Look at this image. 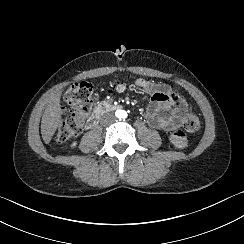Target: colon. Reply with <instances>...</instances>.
I'll return each mask as SVG.
<instances>
[{
    "mask_svg": "<svg viewBox=\"0 0 244 244\" xmlns=\"http://www.w3.org/2000/svg\"><path fill=\"white\" fill-rule=\"evenodd\" d=\"M165 100L164 97H161ZM63 101L71 109L64 108L62 121L54 136V141L58 144L65 143L73 139L81 129V123L90 113L94 104L93 86L86 81L73 82L64 92ZM199 119L188 113L184 124L170 134V140L179 149H187L190 145V135L199 129Z\"/></svg>",
    "mask_w": 244,
    "mask_h": 244,
    "instance_id": "colon-1",
    "label": "colon"
}]
</instances>
